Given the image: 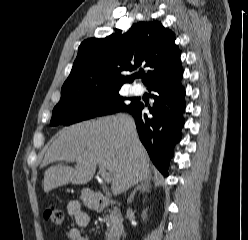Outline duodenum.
<instances>
[{"instance_id":"obj_1","label":"duodenum","mask_w":248,"mask_h":240,"mask_svg":"<svg viewBox=\"0 0 248 240\" xmlns=\"http://www.w3.org/2000/svg\"><path fill=\"white\" fill-rule=\"evenodd\" d=\"M91 206L96 210H102L107 207L110 202L104 197L102 193L94 192L90 193ZM113 240H125L124 233H120Z\"/></svg>"}]
</instances>
